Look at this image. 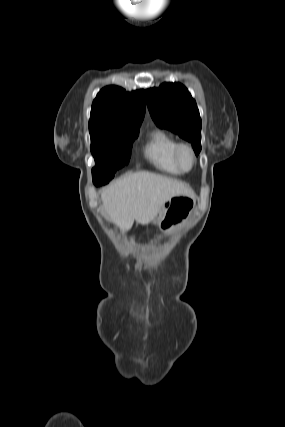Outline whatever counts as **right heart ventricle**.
Instances as JSON below:
<instances>
[{
  "instance_id": "1",
  "label": "right heart ventricle",
  "mask_w": 285,
  "mask_h": 427,
  "mask_svg": "<svg viewBox=\"0 0 285 427\" xmlns=\"http://www.w3.org/2000/svg\"><path fill=\"white\" fill-rule=\"evenodd\" d=\"M178 141L163 130L153 131L144 147V157L160 172L179 175L182 172L174 163L173 153Z\"/></svg>"
}]
</instances>
